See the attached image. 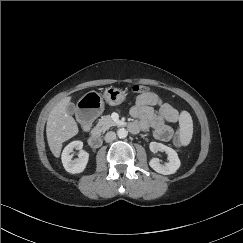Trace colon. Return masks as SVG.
<instances>
[{
    "mask_svg": "<svg viewBox=\"0 0 243 243\" xmlns=\"http://www.w3.org/2000/svg\"><path fill=\"white\" fill-rule=\"evenodd\" d=\"M132 91L134 93H138V94H145V93H149L151 92L150 91V88L147 87V86H144V85H139V84H136L132 87ZM175 142L178 144L180 142V138L179 136H176L175 138Z\"/></svg>",
    "mask_w": 243,
    "mask_h": 243,
    "instance_id": "5ec220e1",
    "label": "colon"
}]
</instances>
